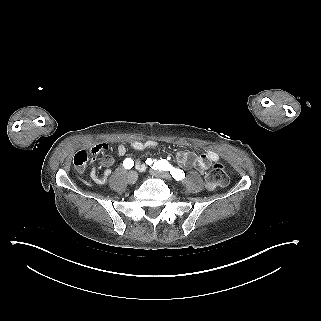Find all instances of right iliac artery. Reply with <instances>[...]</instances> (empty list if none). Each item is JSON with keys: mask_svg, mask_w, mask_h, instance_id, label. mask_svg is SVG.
<instances>
[{"mask_svg": "<svg viewBox=\"0 0 321 321\" xmlns=\"http://www.w3.org/2000/svg\"><path fill=\"white\" fill-rule=\"evenodd\" d=\"M123 166H124L126 169H131V168L134 166V161H133L131 158H126V159L123 161Z\"/></svg>", "mask_w": 321, "mask_h": 321, "instance_id": "82829eb1", "label": "right iliac artery"}]
</instances>
